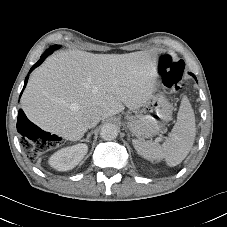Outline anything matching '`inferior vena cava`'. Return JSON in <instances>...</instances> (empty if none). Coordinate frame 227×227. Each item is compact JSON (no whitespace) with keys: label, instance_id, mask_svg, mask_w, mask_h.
<instances>
[{"label":"inferior vena cava","instance_id":"obj_1","mask_svg":"<svg viewBox=\"0 0 227 227\" xmlns=\"http://www.w3.org/2000/svg\"><path fill=\"white\" fill-rule=\"evenodd\" d=\"M101 120V116L98 113H90L86 116L85 124L87 128L95 127Z\"/></svg>","mask_w":227,"mask_h":227}]
</instances>
